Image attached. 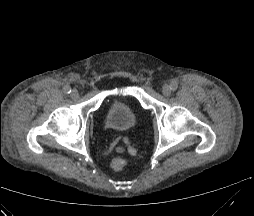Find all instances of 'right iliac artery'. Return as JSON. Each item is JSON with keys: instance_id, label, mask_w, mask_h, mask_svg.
<instances>
[{"instance_id": "right-iliac-artery-1", "label": "right iliac artery", "mask_w": 254, "mask_h": 216, "mask_svg": "<svg viewBox=\"0 0 254 216\" xmlns=\"http://www.w3.org/2000/svg\"><path fill=\"white\" fill-rule=\"evenodd\" d=\"M71 88L69 87V86H65L64 87V92L66 93V94H70L71 93Z\"/></svg>"}]
</instances>
